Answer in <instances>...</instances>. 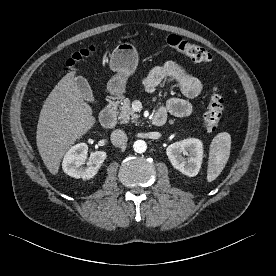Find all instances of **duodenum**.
Masks as SVG:
<instances>
[{
    "label": "duodenum",
    "instance_id": "410a0bca",
    "mask_svg": "<svg viewBox=\"0 0 276 276\" xmlns=\"http://www.w3.org/2000/svg\"><path fill=\"white\" fill-rule=\"evenodd\" d=\"M120 99L117 96H110L107 100V104L103 109L100 122L106 128H112L117 123V107ZM166 122V115L162 111H158L152 118V124L155 127H162Z\"/></svg>",
    "mask_w": 276,
    "mask_h": 276
}]
</instances>
